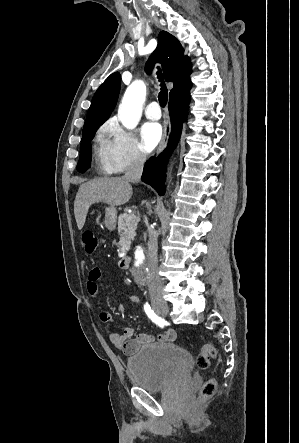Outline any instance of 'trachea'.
<instances>
[{"mask_svg":"<svg viewBox=\"0 0 299 443\" xmlns=\"http://www.w3.org/2000/svg\"><path fill=\"white\" fill-rule=\"evenodd\" d=\"M157 77H158L159 81L161 82L160 83L161 90L159 92L158 99H159L160 105L162 107H165L167 104V101H168V90L166 88L165 83L163 82L162 72L160 69H158V71H157Z\"/></svg>","mask_w":299,"mask_h":443,"instance_id":"obj_1","label":"trachea"}]
</instances>
